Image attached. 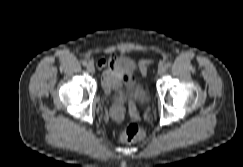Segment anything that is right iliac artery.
Returning <instances> with one entry per match:
<instances>
[{
    "instance_id": "right-iliac-artery-1",
    "label": "right iliac artery",
    "mask_w": 243,
    "mask_h": 167,
    "mask_svg": "<svg viewBox=\"0 0 243 167\" xmlns=\"http://www.w3.org/2000/svg\"><path fill=\"white\" fill-rule=\"evenodd\" d=\"M82 64H83V66H87L88 65V62L86 60H83L82 61Z\"/></svg>"
}]
</instances>
